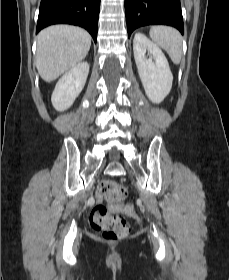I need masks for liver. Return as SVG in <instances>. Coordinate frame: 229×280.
<instances>
[{
	"instance_id": "6515ba94",
	"label": "liver",
	"mask_w": 229,
	"mask_h": 280,
	"mask_svg": "<svg viewBox=\"0 0 229 280\" xmlns=\"http://www.w3.org/2000/svg\"><path fill=\"white\" fill-rule=\"evenodd\" d=\"M91 37L87 31L70 25H54L37 36L36 67L46 82L57 79L88 54Z\"/></svg>"
}]
</instances>
